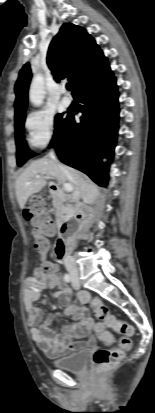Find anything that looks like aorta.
Masks as SVG:
<instances>
[{
    "label": "aorta",
    "mask_w": 155,
    "mask_h": 413,
    "mask_svg": "<svg viewBox=\"0 0 155 413\" xmlns=\"http://www.w3.org/2000/svg\"><path fill=\"white\" fill-rule=\"evenodd\" d=\"M45 97V89H44V84H43V78L41 75H36L32 83L30 85V90H29V99L30 102L34 106H40L43 103Z\"/></svg>",
    "instance_id": "762f6f07"
}]
</instances>
